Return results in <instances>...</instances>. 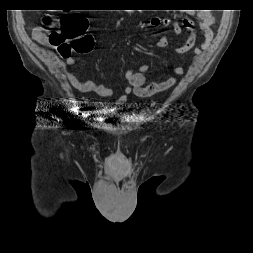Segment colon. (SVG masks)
I'll return each instance as SVG.
<instances>
[{
    "mask_svg": "<svg viewBox=\"0 0 253 253\" xmlns=\"http://www.w3.org/2000/svg\"><path fill=\"white\" fill-rule=\"evenodd\" d=\"M54 20L50 17L44 19V29L49 30ZM59 29L50 32L49 43L57 47L62 57H69L74 53H86L92 50L94 39L87 32L88 20L81 14H68L59 21Z\"/></svg>",
    "mask_w": 253,
    "mask_h": 253,
    "instance_id": "5ec220e1",
    "label": "colon"
}]
</instances>
